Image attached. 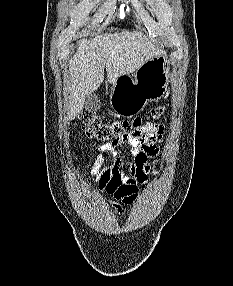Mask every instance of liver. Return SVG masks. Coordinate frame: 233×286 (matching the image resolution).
<instances>
[{"instance_id":"1","label":"liver","mask_w":233,"mask_h":286,"mask_svg":"<svg viewBox=\"0 0 233 286\" xmlns=\"http://www.w3.org/2000/svg\"><path fill=\"white\" fill-rule=\"evenodd\" d=\"M161 54L163 51L137 30L81 39L77 52L69 61V118L74 119L83 110L86 96L103 83L105 67L108 81L114 84L120 76L135 72Z\"/></svg>"}]
</instances>
